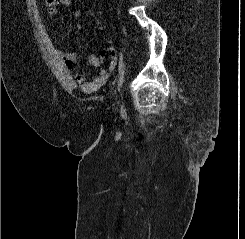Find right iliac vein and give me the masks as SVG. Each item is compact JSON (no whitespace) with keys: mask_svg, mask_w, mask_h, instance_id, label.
Instances as JSON below:
<instances>
[{"mask_svg":"<svg viewBox=\"0 0 245 239\" xmlns=\"http://www.w3.org/2000/svg\"><path fill=\"white\" fill-rule=\"evenodd\" d=\"M123 82H124V76L122 75V78H121V89H122V85H123ZM123 99V96H122V93H121V100ZM124 105H123V102L121 104V108L123 109Z\"/></svg>","mask_w":245,"mask_h":239,"instance_id":"right-iliac-vein-1","label":"right iliac vein"}]
</instances>
